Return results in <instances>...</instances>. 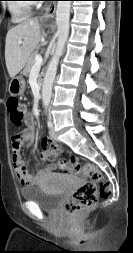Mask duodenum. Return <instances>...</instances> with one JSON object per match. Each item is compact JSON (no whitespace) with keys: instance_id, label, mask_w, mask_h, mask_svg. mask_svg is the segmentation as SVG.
<instances>
[{"instance_id":"duodenum-1","label":"duodenum","mask_w":133,"mask_h":253,"mask_svg":"<svg viewBox=\"0 0 133 253\" xmlns=\"http://www.w3.org/2000/svg\"><path fill=\"white\" fill-rule=\"evenodd\" d=\"M42 87H43V80L41 79V80L39 81V88L42 89Z\"/></svg>"}]
</instances>
